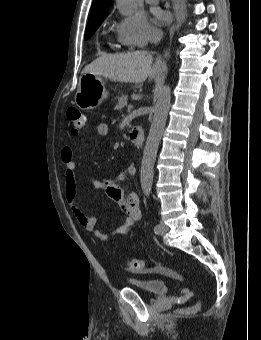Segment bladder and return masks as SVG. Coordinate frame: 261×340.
<instances>
[{"instance_id":"1","label":"bladder","mask_w":261,"mask_h":340,"mask_svg":"<svg viewBox=\"0 0 261 340\" xmlns=\"http://www.w3.org/2000/svg\"><path fill=\"white\" fill-rule=\"evenodd\" d=\"M129 287L141 291L150 296H162L168 292L169 283L162 278L135 279L126 280Z\"/></svg>"}]
</instances>
